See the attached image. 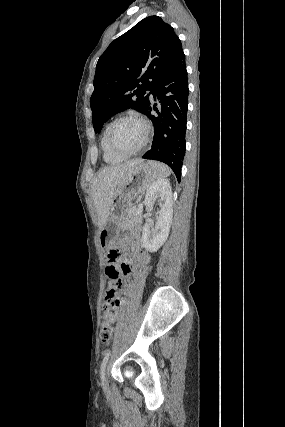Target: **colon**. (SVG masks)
<instances>
[{
    "label": "colon",
    "mask_w": 285,
    "mask_h": 427,
    "mask_svg": "<svg viewBox=\"0 0 285 427\" xmlns=\"http://www.w3.org/2000/svg\"><path fill=\"white\" fill-rule=\"evenodd\" d=\"M107 260L109 262V266L106 268V275L108 278L109 287L120 288L123 281L120 276L119 270L115 267V264L121 260V253L118 249H114L108 252ZM121 268L123 271H128V266L122 264ZM120 301L111 297L110 292L102 303V319L103 325L100 331V338L103 342L110 341L113 334V326L112 323L117 316V307Z\"/></svg>",
    "instance_id": "colon-1"
}]
</instances>
